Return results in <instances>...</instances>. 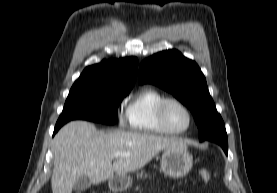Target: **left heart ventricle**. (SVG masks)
I'll list each match as a JSON object with an SVG mask.
<instances>
[{"mask_svg":"<svg viewBox=\"0 0 277 193\" xmlns=\"http://www.w3.org/2000/svg\"><path fill=\"white\" fill-rule=\"evenodd\" d=\"M165 117L168 126L176 131L187 127L189 119L186 111L177 103H169L166 107Z\"/></svg>","mask_w":277,"mask_h":193,"instance_id":"obj_1","label":"left heart ventricle"}]
</instances>
